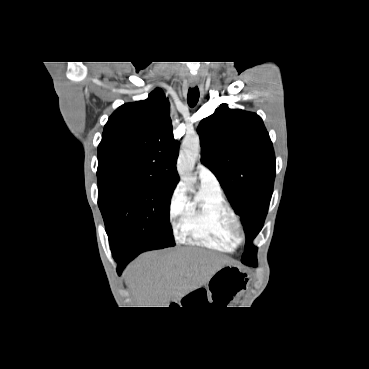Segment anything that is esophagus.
<instances>
[{"mask_svg": "<svg viewBox=\"0 0 369 369\" xmlns=\"http://www.w3.org/2000/svg\"><path fill=\"white\" fill-rule=\"evenodd\" d=\"M190 85H191V87H195L197 85V83L196 82H191Z\"/></svg>", "mask_w": 369, "mask_h": 369, "instance_id": "obj_1", "label": "esophagus"}]
</instances>
